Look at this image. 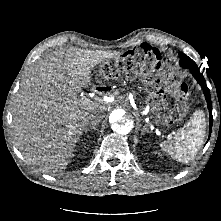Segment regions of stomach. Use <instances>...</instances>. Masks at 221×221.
I'll list each match as a JSON object with an SVG mask.
<instances>
[{
	"label": "stomach",
	"instance_id": "0dacf381",
	"mask_svg": "<svg viewBox=\"0 0 221 221\" xmlns=\"http://www.w3.org/2000/svg\"><path fill=\"white\" fill-rule=\"evenodd\" d=\"M146 79L143 81L144 90L147 93V100L153 118L161 123H167L173 116V99L167 94V82L171 78L170 66L159 60L150 64L146 69Z\"/></svg>",
	"mask_w": 221,
	"mask_h": 221
}]
</instances>
